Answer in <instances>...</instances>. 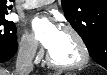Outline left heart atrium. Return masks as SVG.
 Listing matches in <instances>:
<instances>
[{
    "label": "left heart atrium",
    "instance_id": "39dd6f15",
    "mask_svg": "<svg viewBox=\"0 0 107 75\" xmlns=\"http://www.w3.org/2000/svg\"><path fill=\"white\" fill-rule=\"evenodd\" d=\"M32 29L39 42L49 51L55 47L61 34L58 26L47 17L35 18Z\"/></svg>",
    "mask_w": 107,
    "mask_h": 75
}]
</instances>
